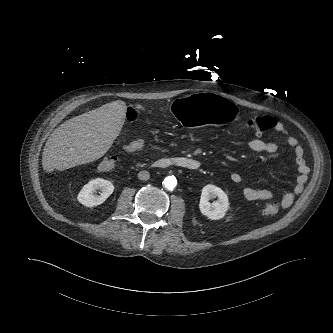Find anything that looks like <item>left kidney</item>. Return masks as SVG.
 I'll use <instances>...</instances> for the list:
<instances>
[{"mask_svg":"<svg viewBox=\"0 0 333 333\" xmlns=\"http://www.w3.org/2000/svg\"><path fill=\"white\" fill-rule=\"evenodd\" d=\"M218 197V201L209 202L210 198ZM229 208L228 196L219 187L209 184L202 189L199 209L203 215L211 220L223 218Z\"/></svg>","mask_w":333,"mask_h":333,"instance_id":"left-kidney-1","label":"left kidney"}]
</instances>
